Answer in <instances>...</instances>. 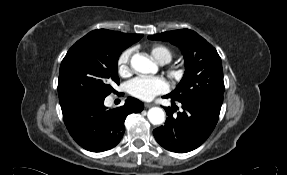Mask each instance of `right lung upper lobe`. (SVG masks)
I'll use <instances>...</instances> for the list:
<instances>
[{"mask_svg":"<svg viewBox=\"0 0 287 175\" xmlns=\"http://www.w3.org/2000/svg\"><path fill=\"white\" fill-rule=\"evenodd\" d=\"M90 33L94 34V35H98V36L103 37V38H107V39L122 40V41L130 43V44L137 42L143 36L141 34H125V33L110 31V30H106V29H98V30H94Z\"/></svg>","mask_w":287,"mask_h":175,"instance_id":"right-lung-upper-lobe-1","label":"right lung upper lobe"}]
</instances>
